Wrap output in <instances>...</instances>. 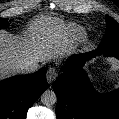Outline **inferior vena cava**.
I'll return each instance as SVG.
<instances>
[{
	"label": "inferior vena cava",
	"instance_id": "obj_1",
	"mask_svg": "<svg viewBox=\"0 0 119 119\" xmlns=\"http://www.w3.org/2000/svg\"><path fill=\"white\" fill-rule=\"evenodd\" d=\"M37 69H38V64L35 63H27L19 67V71L25 74L35 72Z\"/></svg>",
	"mask_w": 119,
	"mask_h": 119
}]
</instances>
